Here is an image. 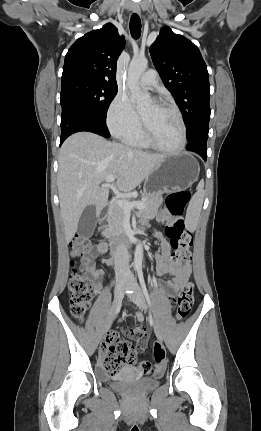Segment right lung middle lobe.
I'll return each mask as SVG.
<instances>
[{"label": "right lung middle lobe", "mask_w": 261, "mask_h": 431, "mask_svg": "<svg viewBox=\"0 0 261 431\" xmlns=\"http://www.w3.org/2000/svg\"><path fill=\"white\" fill-rule=\"evenodd\" d=\"M117 94V86L92 77L75 75L62 78L61 106L106 123L108 107Z\"/></svg>", "instance_id": "1"}]
</instances>
